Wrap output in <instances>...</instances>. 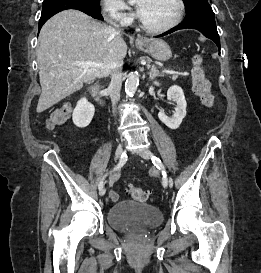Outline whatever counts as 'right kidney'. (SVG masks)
I'll use <instances>...</instances> for the list:
<instances>
[{"label": "right kidney", "mask_w": 261, "mask_h": 273, "mask_svg": "<svg viewBox=\"0 0 261 273\" xmlns=\"http://www.w3.org/2000/svg\"><path fill=\"white\" fill-rule=\"evenodd\" d=\"M94 112V106L86 98L80 99L73 111V123L79 128L88 126L94 116Z\"/></svg>", "instance_id": "ca27d5eb"}]
</instances>
